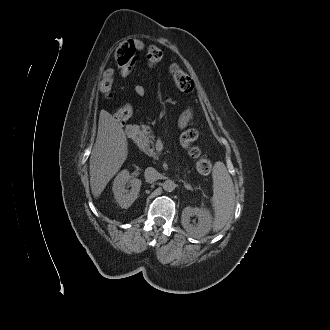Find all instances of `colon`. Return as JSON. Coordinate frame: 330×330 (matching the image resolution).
Segmentation results:
<instances>
[{"label": "colon", "mask_w": 330, "mask_h": 330, "mask_svg": "<svg viewBox=\"0 0 330 330\" xmlns=\"http://www.w3.org/2000/svg\"><path fill=\"white\" fill-rule=\"evenodd\" d=\"M135 48L132 42H126L115 51V60L118 65L124 66L134 60ZM164 58L163 51L157 46H150L146 51L147 64L150 67L157 66ZM169 73L174 81L176 88L183 93H191L194 90V81L184 72L178 64H172ZM113 74L110 70L105 71L100 83V91L105 96L111 95ZM116 119H120L118 111ZM198 131L188 129L181 136V143L187 149L188 154L195 160V166L200 174H208L211 171L212 163L210 159L202 153L197 145Z\"/></svg>", "instance_id": "colon-1"}]
</instances>
